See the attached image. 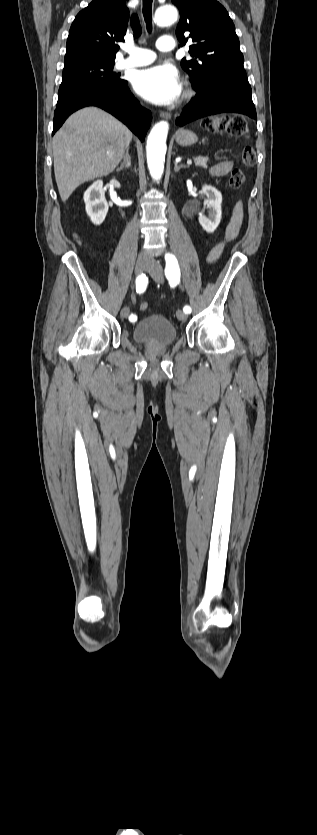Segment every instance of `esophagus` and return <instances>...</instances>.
<instances>
[{
    "mask_svg": "<svg viewBox=\"0 0 317 835\" xmlns=\"http://www.w3.org/2000/svg\"><path fill=\"white\" fill-rule=\"evenodd\" d=\"M160 116L165 119H171V114L169 112H161Z\"/></svg>",
    "mask_w": 317,
    "mask_h": 835,
    "instance_id": "obj_1",
    "label": "esophagus"
}]
</instances>
